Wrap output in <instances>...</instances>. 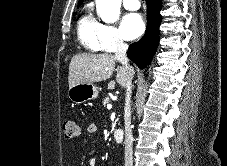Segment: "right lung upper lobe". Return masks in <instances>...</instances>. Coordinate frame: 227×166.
Listing matches in <instances>:
<instances>
[{
  "label": "right lung upper lobe",
  "mask_w": 227,
  "mask_h": 166,
  "mask_svg": "<svg viewBox=\"0 0 227 166\" xmlns=\"http://www.w3.org/2000/svg\"><path fill=\"white\" fill-rule=\"evenodd\" d=\"M82 3H83V0H79V4H82ZM79 4H78V5H79Z\"/></svg>",
  "instance_id": "obj_1"
}]
</instances>
